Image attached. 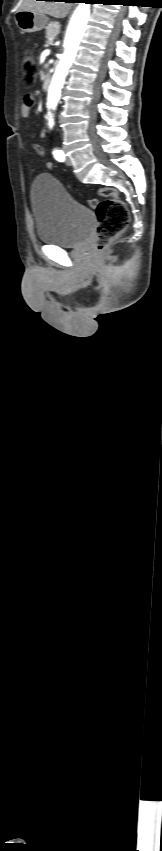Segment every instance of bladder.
Listing matches in <instances>:
<instances>
[{
    "label": "bladder",
    "instance_id": "1",
    "mask_svg": "<svg viewBox=\"0 0 162 851\" xmlns=\"http://www.w3.org/2000/svg\"><path fill=\"white\" fill-rule=\"evenodd\" d=\"M31 202L40 242L75 248L90 236L94 213L72 198L52 175L43 174L33 181Z\"/></svg>",
    "mask_w": 162,
    "mask_h": 851
}]
</instances>
